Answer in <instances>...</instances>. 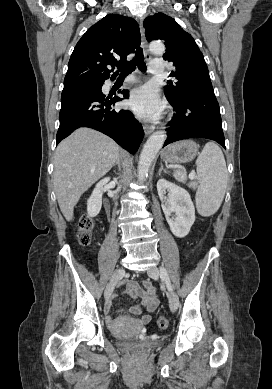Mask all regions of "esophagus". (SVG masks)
<instances>
[{
    "instance_id": "1",
    "label": "esophagus",
    "mask_w": 272,
    "mask_h": 389,
    "mask_svg": "<svg viewBox=\"0 0 272 389\" xmlns=\"http://www.w3.org/2000/svg\"><path fill=\"white\" fill-rule=\"evenodd\" d=\"M140 33H141V45H142V48L144 50L145 57L148 60L151 58V56H150V52L148 49V43H147L146 38H145V30H144V27L142 25V22H140ZM154 129H155V126L144 125V131H145L146 135H149L150 133H152L154 131Z\"/></svg>"
}]
</instances>
